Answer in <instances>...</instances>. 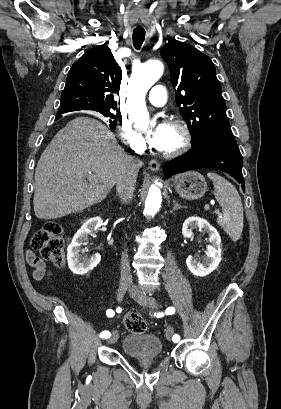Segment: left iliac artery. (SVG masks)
Here are the masks:
<instances>
[{
    "label": "left iliac artery",
    "instance_id": "1",
    "mask_svg": "<svg viewBox=\"0 0 281 409\" xmlns=\"http://www.w3.org/2000/svg\"><path fill=\"white\" fill-rule=\"evenodd\" d=\"M174 312H175L174 307H168V308L166 309V314H168V315L173 314ZM172 340H173L174 342H178V341L180 340V336L177 335V334H175V335H173Z\"/></svg>",
    "mask_w": 281,
    "mask_h": 409
}]
</instances>
